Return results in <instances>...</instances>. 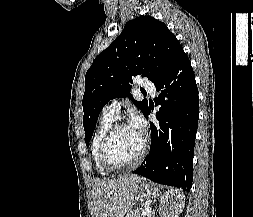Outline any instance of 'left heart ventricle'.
<instances>
[{"label":"left heart ventricle","instance_id":"1","mask_svg":"<svg viewBox=\"0 0 253 217\" xmlns=\"http://www.w3.org/2000/svg\"><path fill=\"white\" fill-rule=\"evenodd\" d=\"M142 142L143 134L131 126L122 127L108 143V157L119 164L127 163L137 156L142 147Z\"/></svg>","mask_w":253,"mask_h":217}]
</instances>
